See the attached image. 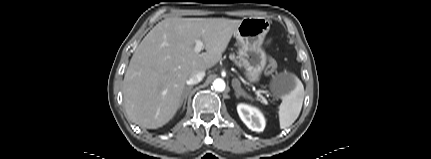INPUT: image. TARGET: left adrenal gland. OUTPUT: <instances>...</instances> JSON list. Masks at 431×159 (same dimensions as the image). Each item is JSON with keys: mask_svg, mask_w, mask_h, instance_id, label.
<instances>
[{"mask_svg": "<svg viewBox=\"0 0 431 159\" xmlns=\"http://www.w3.org/2000/svg\"><path fill=\"white\" fill-rule=\"evenodd\" d=\"M232 85H233V88H234V91H235V95H236V98H239L240 96H243V97H245V98H251L249 95H247L246 93H245V91L241 88V86H240V82H239V80L238 79H236V78H234L233 79V81H232Z\"/></svg>", "mask_w": 431, "mask_h": 159, "instance_id": "1", "label": "left adrenal gland"}]
</instances>
